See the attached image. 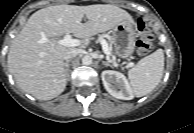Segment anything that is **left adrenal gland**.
I'll return each instance as SVG.
<instances>
[{
    "label": "left adrenal gland",
    "instance_id": "left-adrenal-gland-1",
    "mask_svg": "<svg viewBox=\"0 0 194 133\" xmlns=\"http://www.w3.org/2000/svg\"><path fill=\"white\" fill-rule=\"evenodd\" d=\"M102 64L104 66H109V67L113 68V66L109 62H107V61H102Z\"/></svg>",
    "mask_w": 194,
    "mask_h": 133
}]
</instances>
